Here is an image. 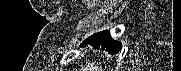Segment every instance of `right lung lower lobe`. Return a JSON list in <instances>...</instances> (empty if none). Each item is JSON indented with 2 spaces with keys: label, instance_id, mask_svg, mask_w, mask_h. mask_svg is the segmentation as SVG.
<instances>
[{
  "label": "right lung lower lobe",
  "instance_id": "right-lung-lower-lobe-1",
  "mask_svg": "<svg viewBox=\"0 0 181 71\" xmlns=\"http://www.w3.org/2000/svg\"><path fill=\"white\" fill-rule=\"evenodd\" d=\"M87 45L92 46L95 49H99L100 46L103 50H106L109 54H116L121 49V43L111 39L109 31H103L96 33L81 43V47Z\"/></svg>",
  "mask_w": 181,
  "mask_h": 71
}]
</instances>
